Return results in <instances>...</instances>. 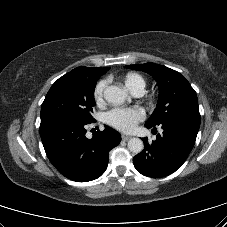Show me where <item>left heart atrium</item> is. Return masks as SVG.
<instances>
[{"label":"left heart atrium","mask_w":227,"mask_h":227,"mask_svg":"<svg viewBox=\"0 0 227 227\" xmlns=\"http://www.w3.org/2000/svg\"><path fill=\"white\" fill-rule=\"evenodd\" d=\"M144 116V112L140 108L116 107L105 114V119L114 128L130 132L144 119Z\"/></svg>","instance_id":"obj_1"}]
</instances>
